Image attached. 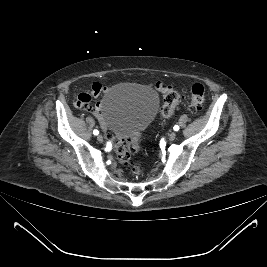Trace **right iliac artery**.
<instances>
[{
  "label": "right iliac artery",
  "instance_id": "obj_1",
  "mask_svg": "<svg viewBox=\"0 0 267 267\" xmlns=\"http://www.w3.org/2000/svg\"><path fill=\"white\" fill-rule=\"evenodd\" d=\"M93 134H94V135H98V134H99V131H98V130H94V131H93Z\"/></svg>",
  "mask_w": 267,
  "mask_h": 267
}]
</instances>
